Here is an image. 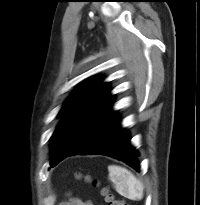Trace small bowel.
Returning <instances> with one entry per match:
<instances>
[{
    "label": "small bowel",
    "mask_w": 200,
    "mask_h": 205,
    "mask_svg": "<svg viewBox=\"0 0 200 205\" xmlns=\"http://www.w3.org/2000/svg\"><path fill=\"white\" fill-rule=\"evenodd\" d=\"M65 205H93L91 202L73 199Z\"/></svg>",
    "instance_id": "obj_1"
}]
</instances>
